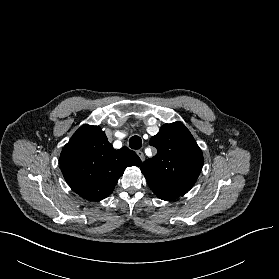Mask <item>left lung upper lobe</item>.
I'll list each match as a JSON object with an SVG mask.
<instances>
[{
	"label": "left lung upper lobe",
	"instance_id": "5c2ea615",
	"mask_svg": "<svg viewBox=\"0 0 279 279\" xmlns=\"http://www.w3.org/2000/svg\"><path fill=\"white\" fill-rule=\"evenodd\" d=\"M150 145L158 153L141 165L147 183L156 196L172 201L186 194L195 184L203 155L189 130L181 123L165 124Z\"/></svg>",
	"mask_w": 279,
	"mask_h": 279
}]
</instances>
